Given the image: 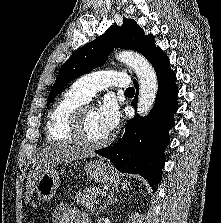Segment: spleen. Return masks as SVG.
Wrapping results in <instances>:
<instances>
[{"instance_id":"3e777b00","label":"spleen","mask_w":221,"mask_h":223,"mask_svg":"<svg viewBox=\"0 0 221 223\" xmlns=\"http://www.w3.org/2000/svg\"><path fill=\"white\" fill-rule=\"evenodd\" d=\"M122 185H123V187L125 188V187L127 186V182H126V184H125V183H123Z\"/></svg>"}]
</instances>
